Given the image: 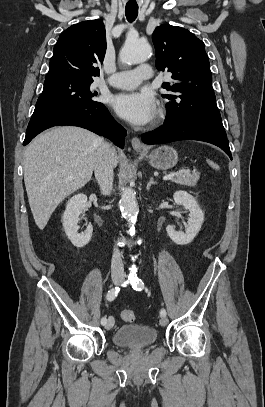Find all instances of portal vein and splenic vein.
<instances>
[{
	"mask_svg": "<svg viewBox=\"0 0 265 407\" xmlns=\"http://www.w3.org/2000/svg\"><path fill=\"white\" fill-rule=\"evenodd\" d=\"M181 173H182V171L170 173V174H168V175H165V176L163 177V180H169V179L173 178L174 176H176V175H178V174H181Z\"/></svg>",
	"mask_w": 265,
	"mask_h": 407,
	"instance_id": "18ae733b",
	"label": "portal vein and splenic vein"
}]
</instances>
